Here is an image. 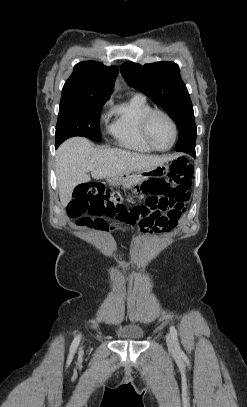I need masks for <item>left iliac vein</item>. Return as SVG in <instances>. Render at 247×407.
<instances>
[{"label": "left iliac vein", "mask_w": 247, "mask_h": 407, "mask_svg": "<svg viewBox=\"0 0 247 407\" xmlns=\"http://www.w3.org/2000/svg\"><path fill=\"white\" fill-rule=\"evenodd\" d=\"M166 342L170 349H174V342L170 334H166Z\"/></svg>", "instance_id": "left-iliac-vein-1"}]
</instances>
